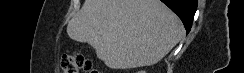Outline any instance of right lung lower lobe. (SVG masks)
<instances>
[{
	"label": "right lung lower lobe",
	"mask_w": 244,
	"mask_h": 73,
	"mask_svg": "<svg viewBox=\"0 0 244 73\" xmlns=\"http://www.w3.org/2000/svg\"><path fill=\"white\" fill-rule=\"evenodd\" d=\"M182 20L187 33L192 27V21L197 9V0H161Z\"/></svg>",
	"instance_id": "right-lung-lower-lobe-1"
}]
</instances>
